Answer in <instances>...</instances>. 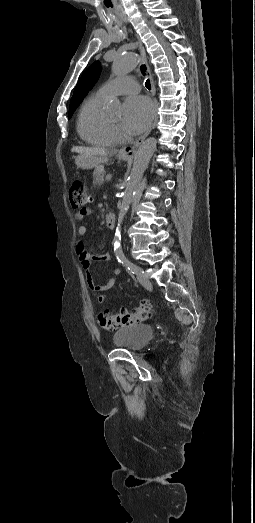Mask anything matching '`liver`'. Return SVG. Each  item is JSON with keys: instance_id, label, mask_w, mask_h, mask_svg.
Wrapping results in <instances>:
<instances>
[{"instance_id": "6515ba94", "label": "liver", "mask_w": 255, "mask_h": 523, "mask_svg": "<svg viewBox=\"0 0 255 523\" xmlns=\"http://www.w3.org/2000/svg\"><path fill=\"white\" fill-rule=\"evenodd\" d=\"M72 152H77V154H81V156H85V158L100 156V158H97L98 162H106L107 160L105 148H82V146H75V148H72ZM101 158H103V160H101Z\"/></svg>"}]
</instances>
